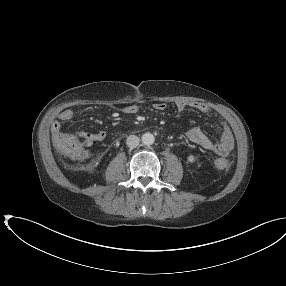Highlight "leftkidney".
Returning <instances> with one entry per match:
<instances>
[{"instance_id": "left-kidney-1", "label": "left kidney", "mask_w": 286, "mask_h": 286, "mask_svg": "<svg viewBox=\"0 0 286 286\" xmlns=\"http://www.w3.org/2000/svg\"><path fill=\"white\" fill-rule=\"evenodd\" d=\"M187 160H188V162L193 163V162H195L196 158H195V156H193V155H189V156L187 157Z\"/></svg>"}]
</instances>
